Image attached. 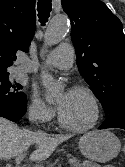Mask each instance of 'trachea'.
Wrapping results in <instances>:
<instances>
[{
  "instance_id": "obj_1",
  "label": "trachea",
  "mask_w": 125,
  "mask_h": 167,
  "mask_svg": "<svg viewBox=\"0 0 125 167\" xmlns=\"http://www.w3.org/2000/svg\"><path fill=\"white\" fill-rule=\"evenodd\" d=\"M52 0H38V17L41 25H45L52 10Z\"/></svg>"
}]
</instances>
